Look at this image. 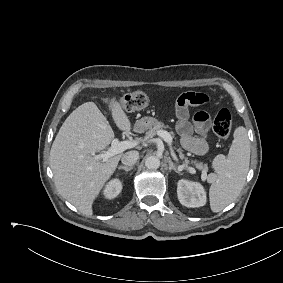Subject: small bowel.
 Instances as JSON below:
<instances>
[{
  "label": "small bowel",
  "mask_w": 283,
  "mask_h": 283,
  "mask_svg": "<svg viewBox=\"0 0 283 283\" xmlns=\"http://www.w3.org/2000/svg\"><path fill=\"white\" fill-rule=\"evenodd\" d=\"M208 96L200 92H187L175 102L178 118L176 129L183 147L195 155L202 156L208 150L209 115L205 111L197 112L193 122L189 121V108L200 106L208 101Z\"/></svg>",
  "instance_id": "small-bowel-1"
}]
</instances>
